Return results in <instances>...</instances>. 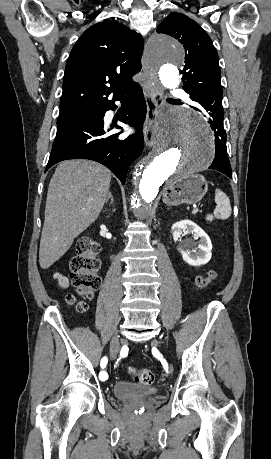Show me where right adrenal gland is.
I'll return each mask as SVG.
<instances>
[{"label": "right adrenal gland", "mask_w": 271, "mask_h": 459, "mask_svg": "<svg viewBox=\"0 0 271 459\" xmlns=\"http://www.w3.org/2000/svg\"><path fill=\"white\" fill-rule=\"evenodd\" d=\"M109 200H111V204H114L113 196H111V192H108L106 204H108Z\"/></svg>", "instance_id": "right-adrenal-gland-1"}]
</instances>
